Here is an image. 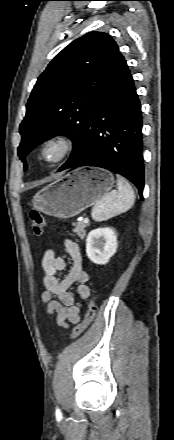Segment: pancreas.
<instances>
[{"label":"pancreas","instance_id":"obj_1","mask_svg":"<svg viewBox=\"0 0 174 440\" xmlns=\"http://www.w3.org/2000/svg\"><path fill=\"white\" fill-rule=\"evenodd\" d=\"M89 222L85 223L84 221L73 223L74 229L73 232L76 233L81 239H84L86 235L85 228L89 226Z\"/></svg>","mask_w":174,"mask_h":440}]
</instances>
